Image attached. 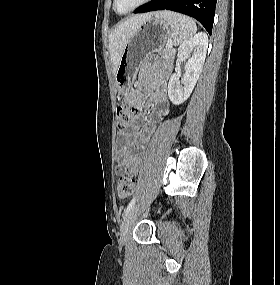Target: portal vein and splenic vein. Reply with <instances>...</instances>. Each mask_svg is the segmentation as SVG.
<instances>
[{
  "mask_svg": "<svg viewBox=\"0 0 280 285\" xmlns=\"http://www.w3.org/2000/svg\"><path fill=\"white\" fill-rule=\"evenodd\" d=\"M172 45H173L172 40H168L166 46L167 47H172Z\"/></svg>",
  "mask_w": 280,
  "mask_h": 285,
  "instance_id": "18ae733b",
  "label": "portal vein and splenic vein"
}]
</instances>
